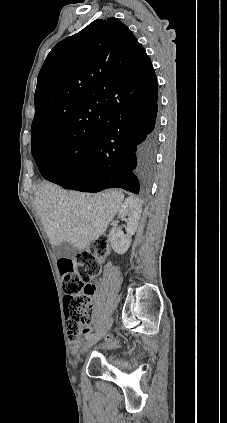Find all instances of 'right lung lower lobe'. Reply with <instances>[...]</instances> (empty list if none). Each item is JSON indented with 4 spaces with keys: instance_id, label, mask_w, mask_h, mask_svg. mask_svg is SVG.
Returning <instances> with one entry per match:
<instances>
[{
    "instance_id": "98d812e1",
    "label": "right lung lower lobe",
    "mask_w": 227,
    "mask_h": 423,
    "mask_svg": "<svg viewBox=\"0 0 227 423\" xmlns=\"http://www.w3.org/2000/svg\"><path fill=\"white\" fill-rule=\"evenodd\" d=\"M157 93L109 107L111 120L99 132L92 151L71 170L50 181L83 192L113 187L136 194L145 191L153 175L158 143Z\"/></svg>"
}]
</instances>
